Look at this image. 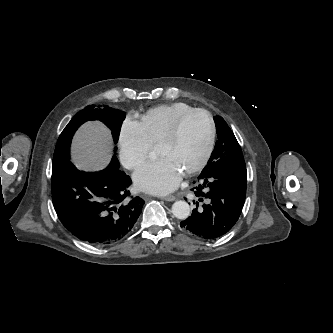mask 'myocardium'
I'll list each match as a JSON object with an SVG mask.
<instances>
[{
  "label": "myocardium",
  "mask_w": 333,
  "mask_h": 333,
  "mask_svg": "<svg viewBox=\"0 0 333 333\" xmlns=\"http://www.w3.org/2000/svg\"><path fill=\"white\" fill-rule=\"evenodd\" d=\"M194 114H204L209 122V138L208 142L205 148V151L201 157V159L195 164L193 167L188 169L187 171L184 172L185 176H191L200 170H202L206 164L208 163L213 150L215 146V141H216V124L214 121V118L212 114L203 108H194L192 110H189L183 114H181L170 126L168 131L165 133V135L161 138L159 141L158 145H163V144H168L176 140V138L179 135L180 129L183 125V123L192 115Z\"/></svg>",
  "instance_id": "f54148a6"
}]
</instances>
